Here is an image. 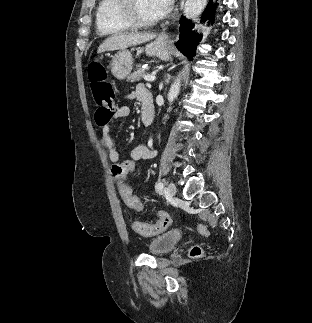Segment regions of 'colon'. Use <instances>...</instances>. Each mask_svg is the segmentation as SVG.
I'll return each instance as SVG.
<instances>
[{
  "label": "colon",
  "instance_id": "obj_1",
  "mask_svg": "<svg viewBox=\"0 0 312 323\" xmlns=\"http://www.w3.org/2000/svg\"><path fill=\"white\" fill-rule=\"evenodd\" d=\"M88 76L93 92V98L97 104L96 114L94 120L99 126L106 125L116 113V105L114 103V90L112 83L107 78V71L103 64H93ZM122 165H111L110 170L113 172L116 182H121V193L123 195L124 204H128L132 213H140L142 204L138 202L137 197H132V190L128 184L123 182L126 172L134 170V160H124ZM171 225V218L165 213L158 214V220L155 223L147 222H133L131 230L140 235H155L165 232ZM199 231H203V226H198ZM201 255V248L195 245L191 249L192 257H199Z\"/></svg>",
  "mask_w": 312,
  "mask_h": 323
}]
</instances>
